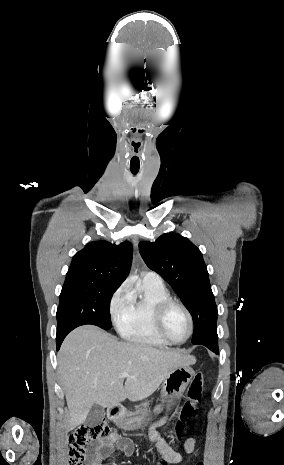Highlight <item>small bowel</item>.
Instances as JSON below:
<instances>
[{
    "mask_svg": "<svg viewBox=\"0 0 284 465\" xmlns=\"http://www.w3.org/2000/svg\"><path fill=\"white\" fill-rule=\"evenodd\" d=\"M163 406L160 404L156 408V412H160ZM168 421L167 417L157 420L150 427L149 438L154 444L156 449L163 455L165 459L172 463H179L182 461V456L173 451L164 441L158 428L163 426ZM197 438L190 437L184 444V449L187 453H192L197 444ZM114 448H119L123 451L124 455L130 457L134 454L135 448L133 442L128 438H122L117 433H111L106 439L99 441L93 447L88 460L90 465H100V462L109 456ZM197 465H205L204 462H199Z\"/></svg>",
    "mask_w": 284,
    "mask_h": 465,
    "instance_id": "obj_1",
    "label": "small bowel"
}]
</instances>
